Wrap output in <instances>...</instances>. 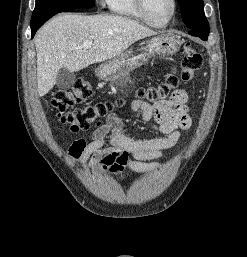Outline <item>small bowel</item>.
<instances>
[{
    "label": "small bowel",
    "instance_id": "1",
    "mask_svg": "<svg viewBox=\"0 0 247 257\" xmlns=\"http://www.w3.org/2000/svg\"><path fill=\"white\" fill-rule=\"evenodd\" d=\"M187 100L185 91L176 90L169 99L153 105L143 100L133 101L132 108L139 113L141 122L152 123L153 128L165 137L134 140L123 131L121 118L110 113L104 123L96 125L89 141L79 138L71 144L69 156L80 164L88 163L93 170L110 175L125 170L134 173L157 170L161 165L148 161L160 158L178 142L180 130L191 126ZM107 139L109 146H105Z\"/></svg>",
    "mask_w": 247,
    "mask_h": 257
}]
</instances>
